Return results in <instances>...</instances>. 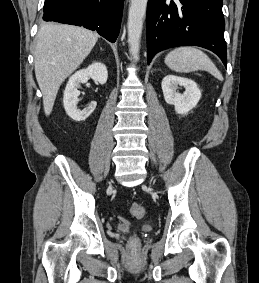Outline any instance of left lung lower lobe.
<instances>
[{
    "mask_svg": "<svg viewBox=\"0 0 259 283\" xmlns=\"http://www.w3.org/2000/svg\"><path fill=\"white\" fill-rule=\"evenodd\" d=\"M147 59L167 48L211 50L227 66L222 0H148Z\"/></svg>",
    "mask_w": 259,
    "mask_h": 283,
    "instance_id": "1",
    "label": "left lung lower lobe"
}]
</instances>
